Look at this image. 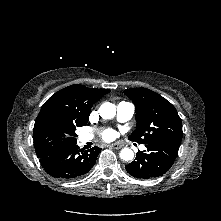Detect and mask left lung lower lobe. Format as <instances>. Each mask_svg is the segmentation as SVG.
Masks as SVG:
<instances>
[{
    "instance_id": "0a47b994",
    "label": "left lung lower lobe",
    "mask_w": 221,
    "mask_h": 221,
    "mask_svg": "<svg viewBox=\"0 0 221 221\" xmlns=\"http://www.w3.org/2000/svg\"><path fill=\"white\" fill-rule=\"evenodd\" d=\"M146 151H139L136 159L126 165L127 172L136 178L151 179L162 176L173 165L179 146L156 142L145 145Z\"/></svg>"
}]
</instances>
